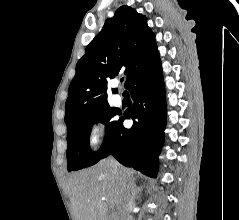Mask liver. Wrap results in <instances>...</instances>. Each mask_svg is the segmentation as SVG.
<instances>
[{
    "mask_svg": "<svg viewBox=\"0 0 239 220\" xmlns=\"http://www.w3.org/2000/svg\"><path fill=\"white\" fill-rule=\"evenodd\" d=\"M120 167L121 173H116L107 161H101L69 178L67 190L75 220H109L107 205H115L121 215V181L134 185V171Z\"/></svg>",
    "mask_w": 239,
    "mask_h": 220,
    "instance_id": "liver-1",
    "label": "liver"
}]
</instances>
